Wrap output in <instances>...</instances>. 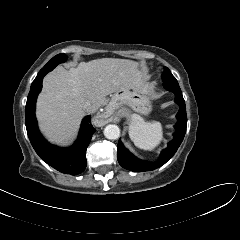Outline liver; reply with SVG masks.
<instances>
[{
	"mask_svg": "<svg viewBox=\"0 0 240 240\" xmlns=\"http://www.w3.org/2000/svg\"><path fill=\"white\" fill-rule=\"evenodd\" d=\"M128 87L147 88L138 63L131 60L102 58L70 70L59 66L43 80L36 110L40 129L51 142L65 143L85 115V102L92 104L93 113L106 96Z\"/></svg>",
	"mask_w": 240,
	"mask_h": 240,
	"instance_id": "obj_1",
	"label": "liver"
}]
</instances>
